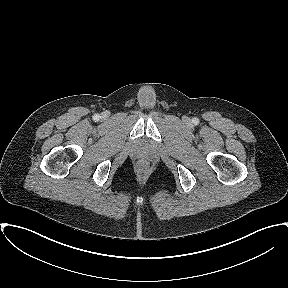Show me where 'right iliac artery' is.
Segmentation results:
<instances>
[{"mask_svg":"<svg viewBox=\"0 0 288 288\" xmlns=\"http://www.w3.org/2000/svg\"><path fill=\"white\" fill-rule=\"evenodd\" d=\"M99 117H100V116H99L98 114H95V115L93 116V119L97 121V120H99Z\"/></svg>","mask_w":288,"mask_h":288,"instance_id":"1","label":"right iliac artery"}]
</instances>
